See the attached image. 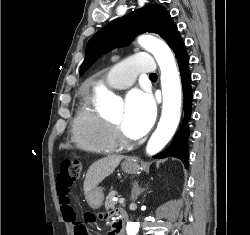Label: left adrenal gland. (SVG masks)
<instances>
[{
	"instance_id": "a2214340",
	"label": "left adrenal gland",
	"mask_w": 250,
	"mask_h": 235,
	"mask_svg": "<svg viewBox=\"0 0 250 235\" xmlns=\"http://www.w3.org/2000/svg\"><path fill=\"white\" fill-rule=\"evenodd\" d=\"M145 189H141L139 186H138V183L136 182L134 185H133V189H132V200L133 201H136L139 197V195L144 191Z\"/></svg>"
}]
</instances>
